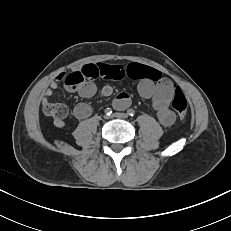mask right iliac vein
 I'll list each match as a JSON object with an SVG mask.
<instances>
[{
	"mask_svg": "<svg viewBox=\"0 0 231 231\" xmlns=\"http://www.w3.org/2000/svg\"><path fill=\"white\" fill-rule=\"evenodd\" d=\"M106 119H108L109 117L108 116H105Z\"/></svg>",
	"mask_w": 231,
	"mask_h": 231,
	"instance_id": "obj_1",
	"label": "right iliac vein"
}]
</instances>
